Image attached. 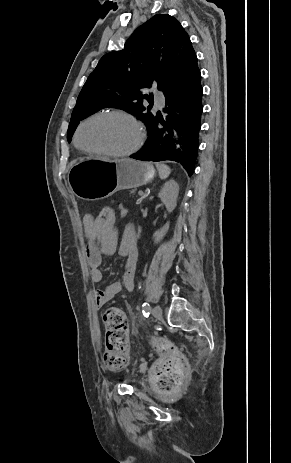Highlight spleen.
Returning a JSON list of instances; mask_svg holds the SVG:
<instances>
[{
  "instance_id": "1",
  "label": "spleen",
  "mask_w": 291,
  "mask_h": 463,
  "mask_svg": "<svg viewBox=\"0 0 291 463\" xmlns=\"http://www.w3.org/2000/svg\"><path fill=\"white\" fill-rule=\"evenodd\" d=\"M156 167L161 179H166L171 173V169L165 164H157Z\"/></svg>"
}]
</instances>
